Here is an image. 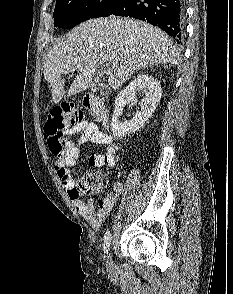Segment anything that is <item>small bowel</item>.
Segmentation results:
<instances>
[{
  "mask_svg": "<svg viewBox=\"0 0 233 294\" xmlns=\"http://www.w3.org/2000/svg\"><path fill=\"white\" fill-rule=\"evenodd\" d=\"M69 133L81 134V136L76 144H71L66 148L62 158L55 161L54 170L77 211L93 228L98 229L114 208L118 197L122 193L123 185L121 182L114 183L108 193L99 200L97 207L93 199L85 200L75 193L76 184L70 173V168L75 165L80 156V146L86 142L106 147L104 154L90 156L89 164L94 167L114 166L118 147L110 135L99 130L95 122L84 120L75 125Z\"/></svg>",
  "mask_w": 233,
  "mask_h": 294,
  "instance_id": "c3829d8e",
  "label": "small bowel"
}]
</instances>
